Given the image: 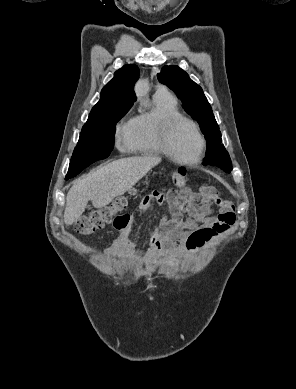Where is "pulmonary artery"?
Instances as JSON below:
<instances>
[{"mask_svg":"<svg viewBox=\"0 0 296 389\" xmlns=\"http://www.w3.org/2000/svg\"><path fill=\"white\" fill-rule=\"evenodd\" d=\"M160 92H168V91H167V88L165 86L158 85L156 93H160Z\"/></svg>","mask_w":296,"mask_h":389,"instance_id":"1","label":"pulmonary artery"}]
</instances>
